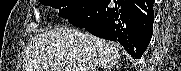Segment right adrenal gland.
I'll use <instances>...</instances> for the list:
<instances>
[{
	"mask_svg": "<svg viewBox=\"0 0 181 71\" xmlns=\"http://www.w3.org/2000/svg\"><path fill=\"white\" fill-rule=\"evenodd\" d=\"M111 70V68L104 69V71Z\"/></svg>",
	"mask_w": 181,
	"mask_h": 71,
	"instance_id": "right-adrenal-gland-1",
	"label": "right adrenal gland"
}]
</instances>
